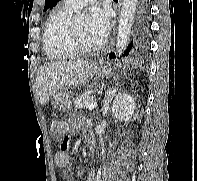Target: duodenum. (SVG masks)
I'll return each mask as SVG.
<instances>
[{"label":"duodenum","instance_id":"1","mask_svg":"<svg viewBox=\"0 0 197 181\" xmlns=\"http://www.w3.org/2000/svg\"><path fill=\"white\" fill-rule=\"evenodd\" d=\"M85 138H86V142L88 144L89 149L90 150H94L95 149L96 142H95V138L92 135V133L89 132V134Z\"/></svg>","mask_w":197,"mask_h":181}]
</instances>
